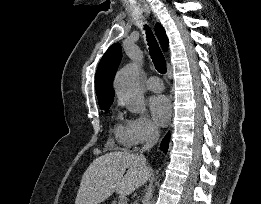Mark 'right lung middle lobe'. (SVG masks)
<instances>
[{"label":"right lung middle lobe","mask_w":261,"mask_h":204,"mask_svg":"<svg viewBox=\"0 0 261 204\" xmlns=\"http://www.w3.org/2000/svg\"><path fill=\"white\" fill-rule=\"evenodd\" d=\"M111 104H112V101L111 102H107L105 104H100L99 106H100V108L102 110H108L110 108Z\"/></svg>","instance_id":"obj_1"}]
</instances>
